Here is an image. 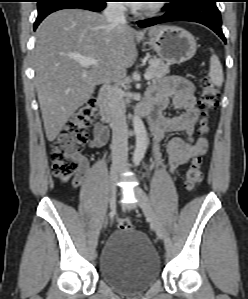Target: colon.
Here are the masks:
<instances>
[{
  "instance_id": "obj_1",
  "label": "colon",
  "mask_w": 248,
  "mask_h": 299,
  "mask_svg": "<svg viewBox=\"0 0 248 299\" xmlns=\"http://www.w3.org/2000/svg\"><path fill=\"white\" fill-rule=\"evenodd\" d=\"M199 107L206 115L218 106L219 92L205 72L201 80ZM97 107L95 100L91 99L81 105L73 116L65 123L60 135L52 144L51 161L55 177L62 182L73 181L79 169L80 151L88 136V126L95 119ZM205 122L202 121V124ZM201 158L193 159L185 173V188L189 191L195 189L202 181ZM120 230H131L132 222L128 218L118 220Z\"/></svg>"
}]
</instances>
